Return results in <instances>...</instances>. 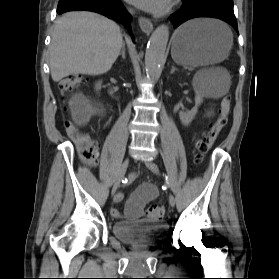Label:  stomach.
Wrapping results in <instances>:
<instances>
[{
	"label": "stomach",
	"mask_w": 279,
	"mask_h": 279,
	"mask_svg": "<svg viewBox=\"0 0 279 279\" xmlns=\"http://www.w3.org/2000/svg\"><path fill=\"white\" fill-rule=\"evenodd\" d=\"M233 44L231 33L220 22L196 19L179 27L172 36L171 56L186 66H207L223 61Z\"/></svg>",
	"instance_id": "stomach-1"
}]
</instances>
